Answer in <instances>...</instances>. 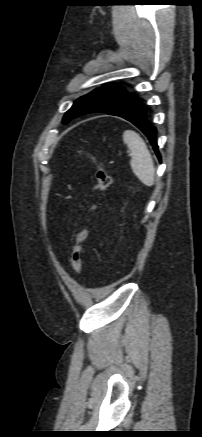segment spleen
Instances as JSON below:
<instances>
[{
    "mask_svg": "<svg viewBox=\"0 0 202 437\" xmlns=\"http://www.w3.org/2000/svg\"><path fill=\"white\" fill-rule=\"evenodd\" d=\"M123 141L131 152L130 166L137 178L146 186L154 184L155 167L152 156L142 138L131 130L123 133Z\"/></svg>",
    "mask_w": 202,
    "mask_h": 437,
    "instance_id": "3e777b00",
    "label": "spleen"
}]
</instances>
